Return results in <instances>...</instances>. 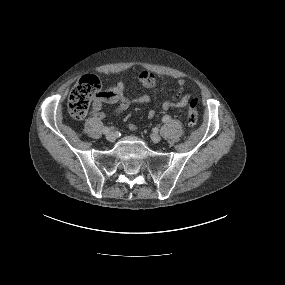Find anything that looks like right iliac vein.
Segmentation results:
<instances>
[{
  "label": "right iliac vein",
  "mask_w": 285,
  "mask_h": 285,
  "mask_svg": "<svg viewBox=\"0 0 285 285\" xmlns=\"http://www.w3.org/2000/svg\"><path fill=\"white\" fill-rule=\"evenodd\" d=\"M106 139L109 141V142H114L115 139H116V134L114 132H109L107 133L106 135Z\"/></svg>",
  "instance_id": "right-iliac-vein-1"
}]
</instances>
